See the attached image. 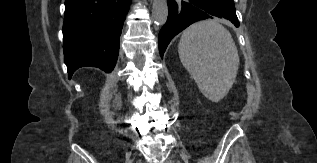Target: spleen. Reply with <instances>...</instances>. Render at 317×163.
<instances>
[{
	"label": "spleen",
	"mask_w": 317,
	"mask_h": 163,
	"mask_svg": "<svg viewBox=\"0 0 317 163\" xmlns=\"http://www.w3.org/2000/svg\"><path fill=\"white\" fill-rule=\"evenodd\" d=\"M178 53L202 94L220 101L235 82L237 47L229 31L215 20L197 22L181 36Z\"/></svg>",
	"instance_id": "spleen-1"
}]
</instances>
